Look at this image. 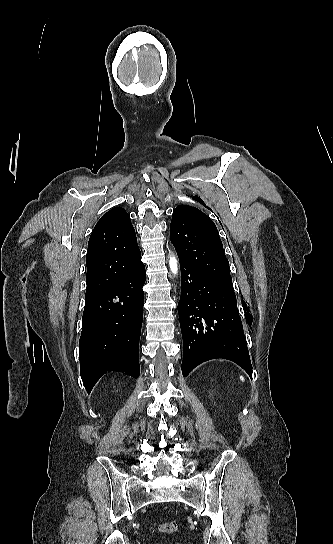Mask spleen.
I'll use <instances>...</instances> for the list:
<instances>
[{
  "label": "spleen",
  "instance_id": "obj_1",
  "mask_svg": "<svg viewBox=\"0 0 333 544\" xmlns=\"http://www.w3.org/2000/svg\"><path fill=\"white\" fill-rule=\"evenodd\" d=\"M240 380H241L242 382H244V377H243V376H240Z\"/></svg>",
  "mask_w": 333,
  "mask_h": 544
}]
</instances>
